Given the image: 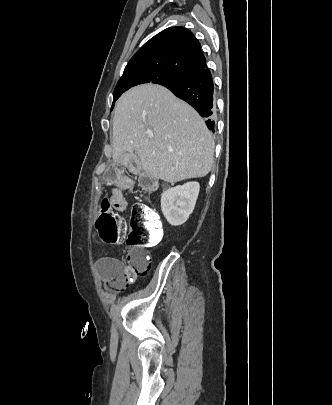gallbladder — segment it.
<instances>
[{
	"instance_id": "1",
	"label": "gallbladder",
	"mask_w": 332,
	"mask_h": 405,
	"mask_svg": "<svg viewBox=\"0 0 332 405\" xmlns=\"http://www.w3.org/2000/svg\"><path fill=\"white\" fill-rule=\"evenodd\" d=\"M131 157H132L134 160H138V156H137L136 154H132Z\"/></svg>"
}]
</instances>
